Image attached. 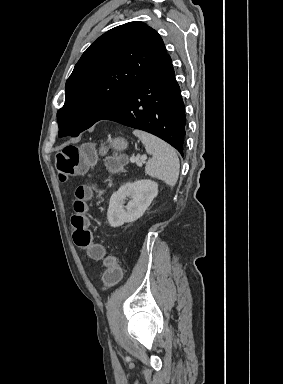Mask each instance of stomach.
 Returning <instances> with one entry per match:
<instances>
[{
	"instance_id": "1",
	"label": "stomach",
	"mask_w": 283,
	"mask_h": 384,
	"mask_svg": "<svg viewBox=\"0 0 283 384\" xmlns=\"http://www.w3.org/2000/svg\"><path fill=\"white\" fill-rule=\"evenodd\" d=\"M109 142L114 150H126L127 148V142L122 140V138H115V140H109Z\"/></svg>"
}]
</instances>
